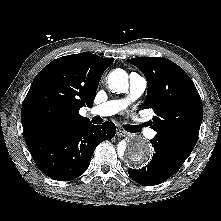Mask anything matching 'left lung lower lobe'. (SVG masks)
I'll return each mask as SVG.
<instances>
[{
	"mask_svg": "<svg viewBox=\"0 0 221 221\" xmlns=\"http://www.w3.org/2000/svg\"><path fill=\"white\" fill-rule=\"evenodd\" d=\"M155 153L151 162L139 170L129 169L130 177L139 184L157 185L175 174L192 150L164 138L150 140Z\"/></svg>",
	"mask_w": 221,
	"mask_h": 221,
	"instance_id": "left-lung-lower-lobe-1",
	"label": "left lung lower lobe"
}]
</instances>
